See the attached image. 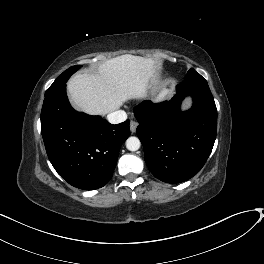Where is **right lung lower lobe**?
Returning <instances> with one entry per match:
<instances>
[{"mask_svg":"<svg viewBox=\"0 0 264 264\" xmlns=\"http://www.w3.org/2000/svg\"><path fill=\"white\" fill-rule=\"evenodd\" d=\"M129 120L112 125L100 116L75 111L66 83L45 95L41 132L48 158L57 173L83 190L103 187L113 176Z\"/></svg>","mask_w":264,"mask_h":264,"instance_id":"1","label":"right lung lower lobe"}]
</instances>
